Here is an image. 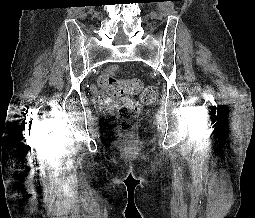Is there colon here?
Wrapping results in <instances>:
<instances>
[{"mask_svg":"<svg viewBox=\"0 0 255 218\" xmlns=\"http://www.w3.org/2000/svg\"><path fill=\"white\" fill-rule=\"evenodd\" d=\"M100 85L108 94L123 98V103L118 110V118L120 128L124 131L132 128L141 110L140 104L130 96L142 92L141 100L146 104L154 102L157 98L156 88L148 86L143 89L139 79L119 80L105 75L101 77Z\"/></svg>","mask_w":255,"mask_h":218,"instance_id":"5ec220e1","label":"colon"}]
</instances>
